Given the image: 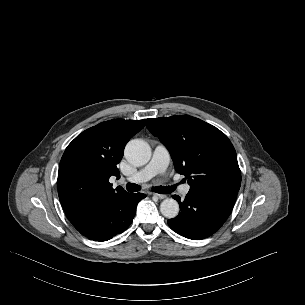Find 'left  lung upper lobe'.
Masks as SVG:
<instances>
[{
  "label": "left lung upper lobe",
  "mask_w": 305,
  "mask_h": 305,
  "mask_svg": "<svg viewBox=\"0 0 305 305\" xmlns=\"http://www.w3.org/2000/svg\"><path fill=\"white\" fill-rule=\"evenodd\" d=\"M146 127L169 150L190 190L240 189L236 151L216 127L189 115L147 119Z\"/></svg>",
  "instance_id": "left-lung-upper-lobe-1"
}]
</instances>
